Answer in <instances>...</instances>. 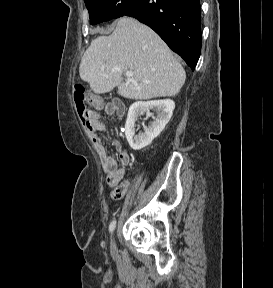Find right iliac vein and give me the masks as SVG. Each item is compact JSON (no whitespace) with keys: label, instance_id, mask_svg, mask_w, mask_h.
Returning <instances> with one entry per match:
<instances>
[{"label":"right iliac vein","instance_id":"right-iliac-vein-1","mask_svg":"<svg viewBox=\"0 0 273 288\" xmlns=\"http://www.w3.org/2000/svg\"><path fill=\"white\" fill-rule=\"evenodd\" d=\"M114 246H115V244H114V240H113V239H111V248L113 249V248H114Z\"/></svg>","mask_w":273,"mask_h":288}]
</instances>
